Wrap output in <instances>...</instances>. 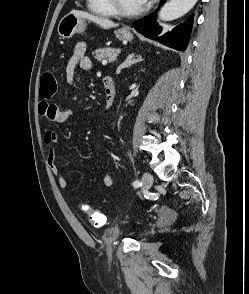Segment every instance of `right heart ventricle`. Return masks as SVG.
I'll use <instances>...</instances> for the list:
<instances>
[{
  "label": "right heart ventricle",
  "mask_w": 249,
  "mask_h": 294,
  "mask_svg": "<svg viewBox=\"0 0 249 294\" xmlns=\"http://www.w3.org/2000/svg\"><path fill=\"white\" fill-rule=\"evenodd\" d=\"M87 7L90 12L100 16L111 17L116 15L107 0H87Z\"/></svg>",
  "instance_id": "obj_1"
}]
</instances>
